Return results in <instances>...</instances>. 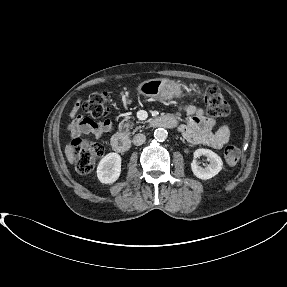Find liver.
Masks as SVG:
<instances>
[{
  "label": "liver",
  "instance_id": "obj_1",
  "mask_svg": "<svg viewBox=\"0 0 287 287\" xmlns=\"http://www.w3.org/2000/svg\"><path fill=\"white\" fill-rule=\"evenodd\" d=\"M74 147L70 144H67L65 147V154L67 157V160L69 161L70 164H73L75 161V154H74Z\"/></svg>",
  "mask_w": 287,
  "mask_h": 287
}]
</instances>
